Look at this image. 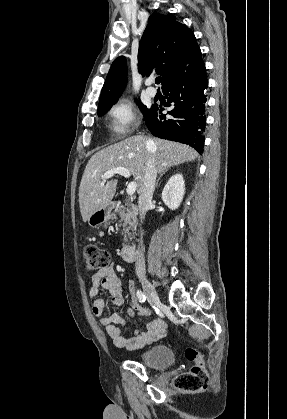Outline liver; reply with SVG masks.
Instances as JSON below:
<instances>
[{
  "label": "liver",
  "instance_id": "liver-1",
  "mask_svg": "<svg viewBox=\"0 0 287 419\" xmlns=\"http://www.w3.org/2000/svg\"><path fill=\"white\" fill-rule=\"evenodd\" d=\"M148 139L143 135L132 136L100 150L90 158L79 187V206L84 222L94 212L108 206L116 192L117 179L102 181V176L108 170L116 167L128 169L137 180L139 193L150 155L155 157L157 172L194 161L198 157V153L185 144L159 138H151L154 144L148 149Z\"/></svg>",
  "mask_w": 287,
  "mask_h": 419
}]
</instances>
